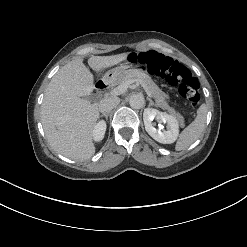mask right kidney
I'll list each match as a JSON object with an SVG mask.
<instances>
[{
    "label": "right kidney",
    "instance_id": "ca27d5eb",
    "mask_svg": "<svg viewBox=\"0 0 247 247\" xmlns=\"http://www.w3.org/2000/svg\"><path fill=\"white\" fill-rule=\"evenodd\" d=\"M106 131V123L104 121H99L93 130V139L97 142L101 141L104 138Z\"/></svg>",
    "mask_w": 247,
    "mask_h": 247
}]
</instances>
